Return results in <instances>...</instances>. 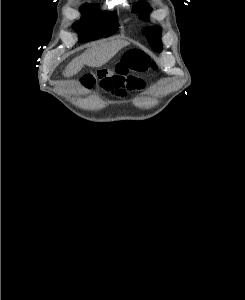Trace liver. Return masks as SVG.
<instances>
[{"label":"liver","mask_w":245,"mask_h":300,"mask_svg":"<svg viewBox=\"0 0 245 300\" xmlns=\"http://www.w3.org/2000/svg\"><path fill=\"white\" fill-rule=\"evenodd\" d=\"M128 42L123 40H115L108 43L93 44L91 48L87 49L83 54L73 59L65 69L64 75L72 77L76 75L83 67H101L106 64L116 53L127 46Z\"/></svg>","instance_id":"6515ba94"}]
</instances>
